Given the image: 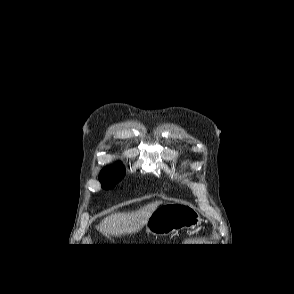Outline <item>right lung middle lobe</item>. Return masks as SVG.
Instances as JSON below:
<instances>
[{
	"label": "right lung middle lobe",
	"mask_w": 294,
	"mask_h": 294,
	"mask_svg": "<svg viewBox=\"0 0 294 294\" xmlns=\"http://www.w3.org/2000/svg\"><path fill=\"white\" fill-rule=\"evenodd\" d=\"M125 175V169L121 164L105 167L99 176L102 188L110 189L115 186Z\"/></svg>",
	"instance_id": "obj_1"
}]
</instances>
